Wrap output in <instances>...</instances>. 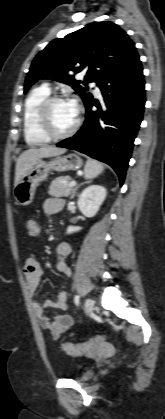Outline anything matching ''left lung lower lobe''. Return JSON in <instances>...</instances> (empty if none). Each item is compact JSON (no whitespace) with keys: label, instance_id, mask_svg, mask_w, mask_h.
<instances>
[{"label":"left lung lower lobe","instance_id":"1","mask_svg":"<svg viewBox=\"0 0 165 419\" xmlns=\"http://www.w3.org/2000/svg\"><path fill=\"white\" fill-rule=\"evenodd\" d=\"M98 86L104 98L102 106L93 99L87 103L81 129L57 146L109 164L123 185L146 101L143 69L136 49ZM94 105L97 111L92 110Z\"/></svg>","mask_w":165,"mask_h":419}]
</instances>
